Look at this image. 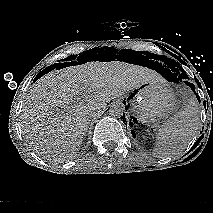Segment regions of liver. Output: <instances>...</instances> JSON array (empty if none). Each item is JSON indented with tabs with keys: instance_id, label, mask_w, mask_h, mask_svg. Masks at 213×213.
<instances>
[{
	"instance_id": "obj_1",
	"label": "liver",
	"mask_w": 213,
	"mask_h": 213,
	"mask_svg": "<svg viewBox=\"0 0 213 213\" xmlns=\"http://www.w3.org/2000/svg\"><path fill=\"white\" fill-rule=\"evenodd\" d=\"M146 67L120 61H91L53 70L29 89L22 109L21 128L35 153L54 162L72 159L82 145L88 116L144 83L161 81ZM86 92L91 98L77 103Z\"/></svg>"
}]
</instances>
